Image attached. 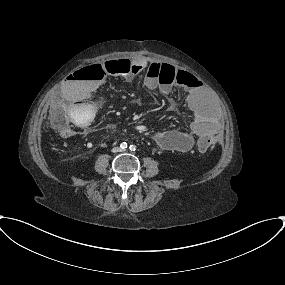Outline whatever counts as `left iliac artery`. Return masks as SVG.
I'll use <instances>...</instances> for the list:
<instances>
[{"label":"left iliac artery","instance_id":"left-iliac-artery-1","mask_svg":"<svg viewBox=\"0 0 285 285\" xmlns=\"http://www.w3.org/2000/svg\"><path fill=\"white\" fill-rule=\"evenodd\" d=\"M129 149H130L131 151H135V150H136V146H135V145H130Z\"/></svg>","mask_w":285,"mask_h":285}]
</instances>
